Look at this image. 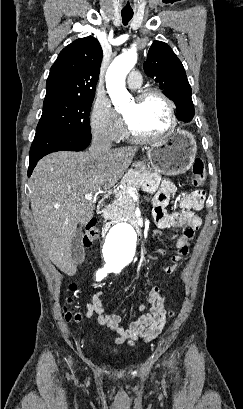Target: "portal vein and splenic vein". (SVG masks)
<instances>
[{"label": "portal vein and splenic vein", "mask_w": 243, "mask_h": 409, "mask_svg": "<svg viewBox=\"0 0 243 409\" xmlns=\"http://www.w3.org/2000/svg\"><path fill=\"white\" fill-rule=\"evenodd\" d=\"M127 193H129L130 195H135V194H137V189L136 188H129V189H127ZM85 199L88 200V201H92L93 195L88 193V194L85 195Z\"/></svg>", "instance_id": "obj_1"}]
</instances>
